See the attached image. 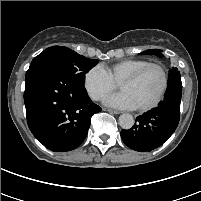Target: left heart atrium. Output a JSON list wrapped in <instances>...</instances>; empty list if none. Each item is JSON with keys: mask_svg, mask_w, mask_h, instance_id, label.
I'll return each instance as SVG.
<instances>
[{"mask_svg": "<svg viewBox=\"0 0 201 201\" xmlns=\"http://www.w3.org/2000/svg\"><path fill=\"white\" fill-rule=\"evenodd\" d=\"M105 104L118 109H134L136 108L132 99L128 94L121 91L120 93L109 96L105 100Z\"/></svg>", "mask_w": 201, "mask_h": 201, "instance_id": "1", "label": "left heart atrium"}]
</instances>
